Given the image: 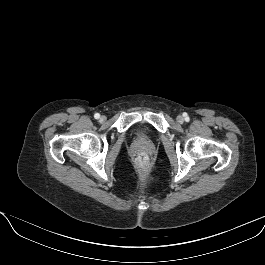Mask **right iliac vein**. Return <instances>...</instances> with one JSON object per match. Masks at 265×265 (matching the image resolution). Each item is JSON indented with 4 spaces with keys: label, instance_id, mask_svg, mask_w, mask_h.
<instances>
[{
    "label": "right iliac vein",
    "instance_id": "right-iliac-vein-1",
    "mask_svg": "<svg viewBox=\"0 0 265 265\" xmlns=\"http://www.w3.org/2000/svg\"><path fill=\"white\" fill-rule=\"evenodd\" d=\"M106 118L104 117V116H102L101 118H100V120L101 121H104Z\"/></svg>",
    "mask_w": 265,
    "mask_h": 265
}]
</instances>
